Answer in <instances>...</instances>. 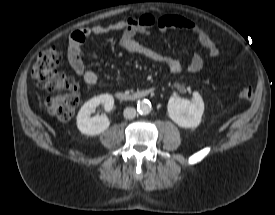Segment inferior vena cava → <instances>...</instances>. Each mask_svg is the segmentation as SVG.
I'll return each instance as SVG.
<instances>
[{"label":"inferior vena cava","mask_w":275,"mask_h":215,"mask_svg":"<svg viewBox=\"0 0 275 215\" xmlns=\"http://www.w3.org/2000/svg\"><path fill=\"white\" fill-rule=\"evenodd\" d=\"M123 115L126 119H133L136 116V110L132 107H127L124 109Z\"/></svg>","instance_id":"602c4592"}]
</instances>
